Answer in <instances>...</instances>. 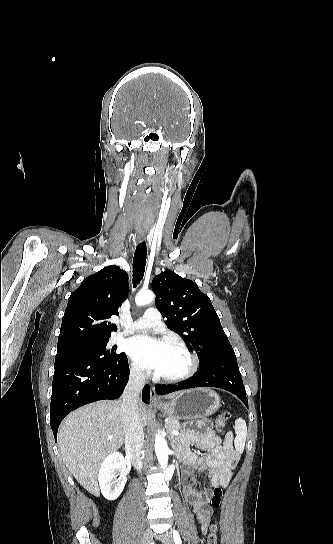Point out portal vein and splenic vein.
<instances>
[{"mask_svg": "<svg viewBox=\"0 0 333 544\" xmlns=\"http://www.w3.org/2000/svg\"><path fill=\"white\" fill-rule=\"evenodd\" d=\"M172 434H173V435H178L179 432H178L177 430H174V431L172 432Z\"/></svg>", "mask_w": 333, "mask_h": 544, "instance_id": "1", "label": "portal vein and splenic vein"}]
</instances>
